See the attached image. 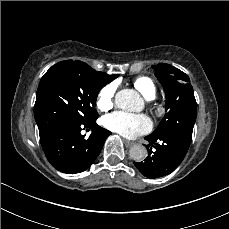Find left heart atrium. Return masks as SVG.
Returning a JSON list of instances; mask_svg holds the SVG:
<instances>
[{
  "instance_id": "1",
  "label": "left heart atrium",
  "mask_w": 229,
  "mask_h": 229,
  "mask_svg": "<svg viewBox=\"0 0 229 229\" xmlns=\"http://www.w3.org/2000/svg\"><path fill=\"white\" fill-rule=\"evenodd\" d=\"M104 125L122 136L135 138L149 132L152 128V121L145 114L116 111L105 117Z\"/></svg>"
}]
</instances>
